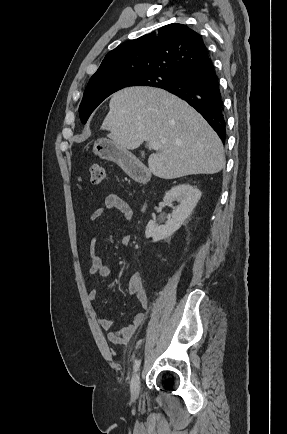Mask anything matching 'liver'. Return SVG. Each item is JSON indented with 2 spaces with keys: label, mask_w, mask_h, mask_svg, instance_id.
<instances>
[{
  "label": "liver",
  "mask_w": 287,
  "mask_h": 434,
  "mask_svg": "<svg viewBox=\"0 0 287 434\" xmlns=\"http://www.w3.org/2000/svg\"><path fill=\"white\" fill-rule=\"evenodd\" d=\"M101 129L113 143L134 150L159 144L148 158L150 172L163 179L215 174L225 165L223 145L206 120L185 101L158 88L130 87L113 94Z\"/></svg>",
  "instance_id": "liver-1"
}]
</instances>
